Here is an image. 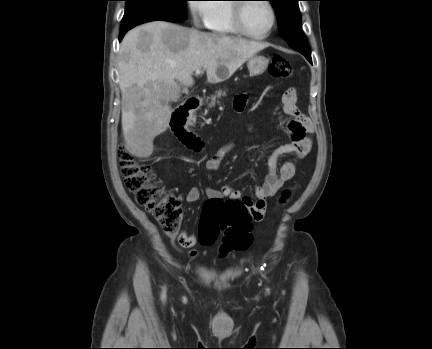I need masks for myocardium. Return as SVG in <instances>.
Instances as JSON below:
<instances>
[{
    "label": "myocardium",
    "instance_id": "f54148a6",
    "mask_svg": "<svg viewBox=\"0 0 432 349\" xmlns=\"http://www.w3.org/2000/svg\"><path fill=\"white\" fill-rule=\"evenodd\" d=\"M239 1H244V2H238V3L232 5L231 16H232V23H233L235 30L239 34L246 36L248 38H251V39H255V40H263V39L268 38L272 34V32L274 31V29L277 25V12H276V9H275L273 3L269 0H261L270 9L271 16H272V23L270 25V28L264 34L257 35V34H253L250 31H248L245 27V24H244L243 12H244L245 7L250 2H248V0H239Z\"/></svg>",
    "mask_w": 432,
    "mask_h": 349
}]
</instances>
